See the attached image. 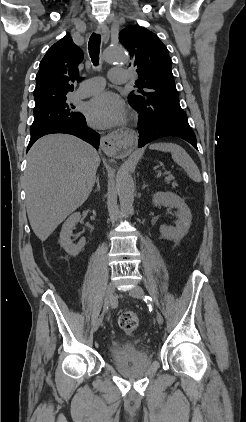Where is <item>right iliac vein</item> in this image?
Segmentation results:
<instances>
[{"instance_id":"63e3f726","label":"right iliac vein","mask_w":246,"mask_h":422,"mask_svg":"<svg viewBox=\"0 0 246 422\" xmlns=\"http://www.w3.org/2000/svg\"><path fill=\"white\" fill-rule=\"evenodd\" d=\"M114 292H115V287L113 283H109L106 289V301L104 303V311L110 306L112 305V303L114 302ZM103 318L104 315L102 314L96 321L95 325H94V330L96 331L100 325L103 322Z\"/></svg>"}]
</instances>
